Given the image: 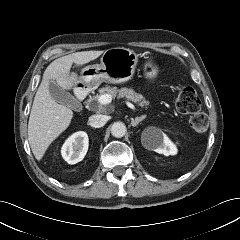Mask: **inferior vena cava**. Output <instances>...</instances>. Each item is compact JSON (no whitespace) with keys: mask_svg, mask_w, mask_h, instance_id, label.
<instances>
[{"mask_svg":"<svg viewBox=\"0 0 240 240\" xmlns=\"http://www.w3.org/2000/svg\"><path fill=\"white\" fill-rule=\"evenodd\" d=\"M108 120V117L106 115L97 114L92 115L89 117V125L94 128H100L103 127Z\"/></svg>","mask_w":240,"mask_h":240,"instance_id":"602c4592","label":"inferior vena cava"}]
</instances>
